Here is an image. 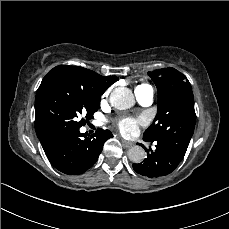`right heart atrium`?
I'll return each instance as SVG.
<instances>
[{
    "label": "right heart atrium",
    "mask_w": 229,
    "mask_h": 229,
    "mask_svg": "<svg viewBox=\"0 0 229 229\" xmlns=\"http://www.w3.org/2000/svg\"><path fill=\"white\" fill-rule=\"evenodd\" d=\"M106 97H107V92H105L103 95H102V102H104L106 100Z\"/></svg>",
    "instance_id": "right-heart-atrium-1"
}]
</instances>
